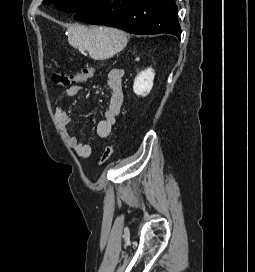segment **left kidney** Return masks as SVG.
Segmentation results:
<instances>
[{
    "instance_id": "left-kidney-1",
    "label": "left kidney",
    "mask_w": 255,
    "mask_h": 272,
    "mask_svg": "<svg viewBox=\"0 0 255 272\" xmlns=\"http://www.w3.org/2000/svg\"><path fill=\"white\" fill-rule=\"evenodd\" d=\"M154 70L150 67L141 71L134 80L133 91L138 96H146L153 87Z\"/></svg>"
}]
</instances>
